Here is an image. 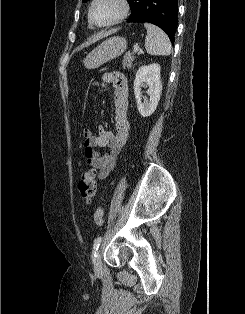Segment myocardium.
<instances>
[{"mask_svg": "<svg viewBox=\"0 0 245 314\" xmlns=\"http://www.w3.org/2000/svg\"><path fill=\"white\" fill-rule=\"evenodd\" d=\"M115 1L119 5L118 14L111 21H109L107 23L100 24V23L95 22L93 19V16H92L93 8L99 2V0H93L91 2L89 10H88V20H89L90 24L95 26V27H98V28H106V27H110V26H113L115 24H118L123 19H125L130 12V5H129L128 0H115Z\"/></svg>", "mask_w": 245, "mask_h": 314, "instance_id": "myocardium-1", "label": "myocardium"}]
</instances>
